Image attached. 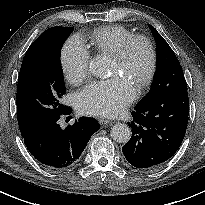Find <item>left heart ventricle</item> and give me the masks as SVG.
Listing matches in <instances>:
<instances>
[{
	"label": "left heart ventricle",
	"mask_w": 205,
	"mask_h": 205,
	"mask_svg": "<svg viewBox=\"0 0 205 205\" xmlns=\"http://www.w3.org/2000/svg\"><path fill=\"white\" fill-rule=\"evenodd\" d=\"M149 65V53L146 46L142 43H136L127 59L119 63L113 60L112 76H123L128 78L133 84L144 77Z\"/></svg>",
	"instance_id": "b2bd125f"
}]
</instances>
